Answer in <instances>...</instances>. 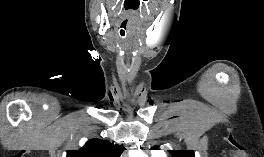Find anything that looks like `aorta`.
I'll return each mask as SVG.
<instances>
[{"label": "aorta", "mask_w": 264, "mask_h": 157, "mask_svg": "<svg viewBox=\"0 0 264 157\" xmlns=\"http://www.w3.org/2000/svg\"><path fill=\"white\" fill-rule=\"evenodd\" d=\"M130 157H145L144 154L138 151H133L129 153Z\"/></svg>", "instance_id": "762f6f07"}]
</instances>
